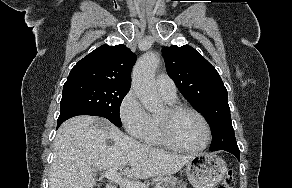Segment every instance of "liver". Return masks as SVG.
I'll list each match as a JSON object with an SVG mask.
<instances>
[{"instance_id":"liver-1","label":"liver","mask_w":292,"mask_h":188,"mask_svg":"<svg viewBox=\"0 0 292 188\" xmlns=\"http://www.w3.org/2000/svg\"><path fill=\"white\" fill-rule=\"evenodd\" d=\"M192 158L139 143L106 119L77 116L57 131L49 188H93V172L112 168L135 179L172 175Z\"/></svg>"}]
</instances>
